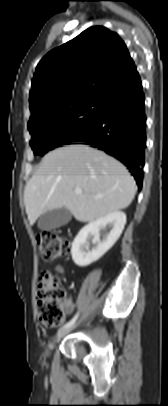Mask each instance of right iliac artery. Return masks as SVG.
Returning <instances> with one entry per match:
<instances>
[{"label": "right iliac artery", "mask_w": 168, "mask_h": 406, "mask_svg": "<svg viewBox=\"0 0 168 406\" xmlns=\"http://www.w3.org/2000/svg\"><path fill=\"white\" fill-rule=\"evenodd\" d=\"M77 317H78V314H76L69 322H67V323L63 326V328H67V327H70L71 325H73V324L75 323Z\"/></svg>", "instance_id": "1"}]
</instances>
